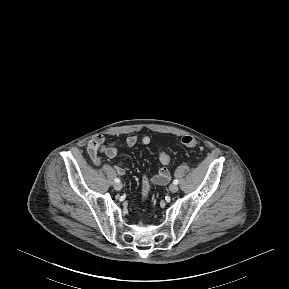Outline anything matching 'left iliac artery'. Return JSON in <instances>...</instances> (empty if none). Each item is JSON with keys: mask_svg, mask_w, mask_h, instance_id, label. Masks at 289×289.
I'll return each instance as SVG.
<instances>
[{"mask_svg": "<svg viewBox=\"0 0 289 289\" xmlns=\"http://www.w3.org/2000/svg\"><path fill=\"white\" fill-rule=\"evenodd\" d=\"M173 183L177 185L179 183L178 179H175Z\"/></svg>", "mask_w": 289, "mask_h": 289, "instance_id": "left-iliac-artery-1", "label": "left iliac artery"}]
</instances>
